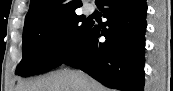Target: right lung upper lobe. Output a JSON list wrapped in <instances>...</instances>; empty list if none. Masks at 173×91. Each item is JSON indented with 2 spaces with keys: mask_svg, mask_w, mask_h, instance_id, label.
<instances>
[{
  "mask_svg": "<svg viewBox=\"0 0 173 91\" xmlns=\"http://www.w3.org/2000/svg\"><path fill=\"white\" fill-rule=\"evenodd\" d=\"M81 6L80 0H31L24 28L62 19L74 14Z\"/></svg>",
  "mask_w": 173,
  "mask_h": 91,
  "instance_id": "obj_1",
  "label": "right lung upper lobe"
}]
</instances>
